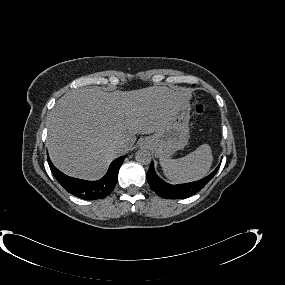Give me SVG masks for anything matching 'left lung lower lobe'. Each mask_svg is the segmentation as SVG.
I'll return each mask as SVG.
<instances>
[{"label": "left lung lower lobe", "mask_w": 285, "mask_h": 285, "mask_svg": "<svg viewBox=\"0 0 285 285\" xmlns=\"http://www.w3.org/2000/svg\"><path fill=\"white\" fill-rule=\"evenodd\" d=\"M219 167L220 165L209 176L196 182L171 185L162 181L157 176L154 170L153 162H151L149 170L146 174V178L152 190L155 191V193L160 197L167 199H182L192 196L201 190L213 178Z\"/></svg>", "instance_id": "left-lung-lower-lobe-1"}]
</instances>
